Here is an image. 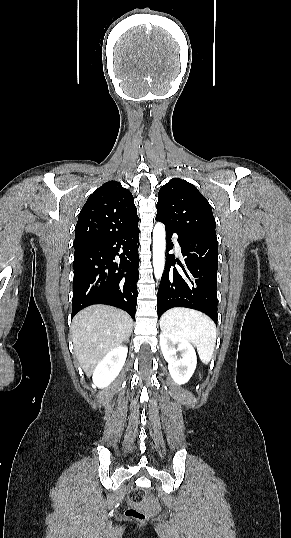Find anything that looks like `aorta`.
<instances>
[{"label":"aorta","instance_id":"aorta-1","mask_svg":"<svg viewBox=\"0 0 291 538\" xmlns=\"http://www.w3.org/2000/svg\"><path fill=\"white\" fill-rule=\"evenodd\" d=\"M165 247V226L158 222L153 230V267L157 280L161 278L164 271Z\"/></svg>","mask_w":291,"mask_h":538}]
</instances>
